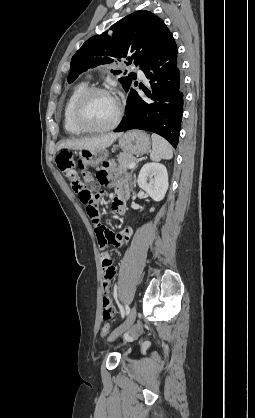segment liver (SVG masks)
<instances>
[{"instance_id": "6515ba94", "label": "liver", "mask_w": 255, "mask_h": 418, "mask_svg": "<svg viewBox=\"0 0 255 418\" xmlns=\"http://www.w3.org/2000/svg\"><path fill=\"white\" fill-rule=\"evenodd\" d=\"M122 133H109L99 137H91L85 139H71L63 141L58 146V151L61 149H74V150H106L113 142L119 138Z\"/></svg>"}]
</instances>
